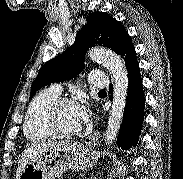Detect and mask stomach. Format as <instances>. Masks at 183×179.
<instances>
[{
    "label": "stomach",
    "instance_id": "stomach-1",
    "mask_svg": "<svg viewBox=\"0 0 183 179\" xmlns=\"http://www.w3.org/2000/svg\"><path fill=\"white\" fill-rule=\"evenodd\" d=\"M96 157L95 151L82 144L59 142L29 163L19 179H55L70 169L84 171Z\"/></svg>",
    "mask_w": 183,
    "mask_h": 179
}]
</instances>
